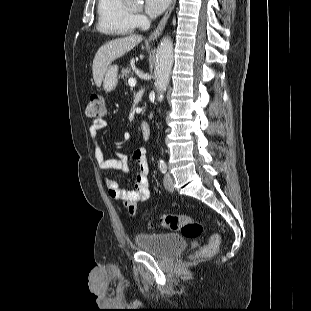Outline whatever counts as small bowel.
Here are the masks:
<instances>
[{"label":"small bowel","instance_id":"obj_1","mask_svg":"<svg viewBox=\"0 0 311 311\" xmlns=\"http://www.w3.org/2000/svg\"><path fill=\"white\" fill-rule=\"evenodd\" d=\"M105 126V120L93 121L88 129L90 136L94 139L98 132ZM146 154L147 150L143 146L137 148L133 152V159L138 166V172L132 190L121 189L117 181L112 178L104 179L110 197L121 200L131 217L136 215L137 204L146 201L150 196L149 166ZM94 158L97 166L101 170H115L124 173L129 172V160L126 154L117 153L114 158H106L102 149L98 145H95Z\"/></svg>","mask_w":311,"mask_h":311}]
</instances>
